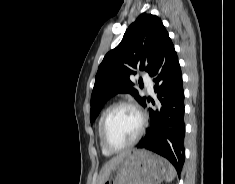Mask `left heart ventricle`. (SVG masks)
<instances>
[{"mask_svg": "<svg viewBox=\"0 0 235 184\" xmlns=\"http://www.w3.org/2000/svg\"><path fill=\"white\" fill-rule=\"evenodd\" d=\"M140 119L129 107L115 110L109 120L107 140L115 147L130 142L138 132Z\"/></svg>", "mask_w": 235, "mask_h": 184, "instance_id": "obj_1", "label": "left heart ventricle"}]
</instances>
